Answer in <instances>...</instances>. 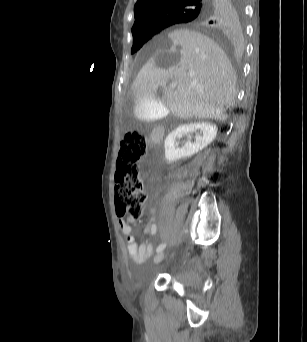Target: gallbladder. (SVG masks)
<instances>
[{
  "label": "gallbladder",
  "instance_id": "gallbladder-1",
  "mask_svg": "<svg viewBox=\"0 0 307 342\" xmlns=\"http://www.w3.org/2000/svg\"><path fill=\"white\" fill-rule=\"evenodd\" d=\"M133 101L135 112L138 118H143L145 123H154L155 118H166L167 112L165 105L160 99H154L153 95H134Z\"/></svg>",
  "mask_w": 307,
  "mask_h": 342
}]
</instances>
